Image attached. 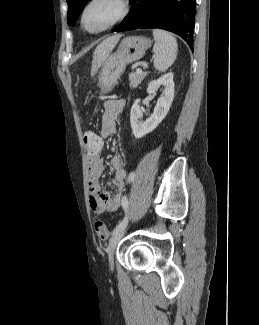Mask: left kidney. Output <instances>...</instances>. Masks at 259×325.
<instances>
[{
    "mask_svg": "<svg viewBox=\"0 0 259 325\" xmlns=\"http://www.w3.org/2000/svg\"><path fill=\"white\" fill-rule=\"evenodd\" d=\"M164 86V94L157 100L153 114L142 121L143 113L140 108V99H137L130 111V123L135 138L139 139L152 132L166 117L174 98L173 74L167 73L157 80L151 81L147 88L148 94H154L160 86Z\"/></svg>",
    "mask_w": 259,
    "mask_h": 325,
    "instance_id": "1",
    "label": "left kidney"
}]
</instances>
